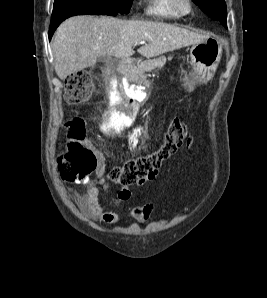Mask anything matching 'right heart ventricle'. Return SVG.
Masks as SVG:
<instances>
[{
	"label": "right heart ventricle",
	"instance_id": "right-heart-ventricle-1",
	"mask_svg": "<svg viewBox=\"0 0 267 298\" xmlns=\"http://www.w3.org/2000/svg\"><path fill=\"white\" fill-rule=\"evenodd\" d=\"M144 13L155 19H175L180 15L170 6L169 0H143Z\"/></svg>",
	"mask_w": 267,
	"mask_h": 298
}]
</instances>
